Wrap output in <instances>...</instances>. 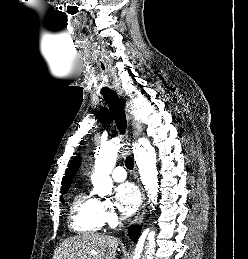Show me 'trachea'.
<instances>
[{
    "mask_svg": "<svg viewBox=\"0 0 248 259\" xmlns=\"http://www.w3.org/2000/svg\"><path fill=\"white\" fill-rule=\"evenodd\" d=\"M102 95L109 106V109L115 120L118 130L120 131L121 134H124L127 128V120H126L123 105L119 97L113 91L104 92L102 93ZM125 165L129 170L133 169L134 161L130 156L126 157Z\"/></svg>",
    "mask_w": 248,
    "mask_h": 259,
    "instance_id": "trachea-1",
    "label": "trachea"
}]
</instances>
